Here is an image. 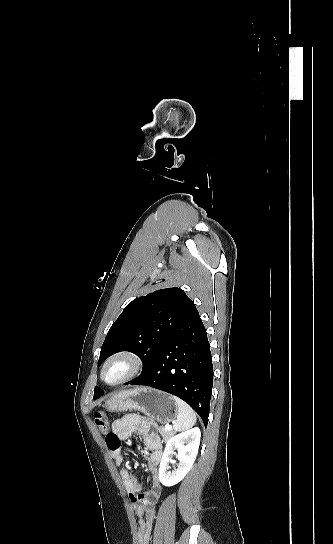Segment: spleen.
<instances>
[{
    "mask_svg": "<svg viewBox=\"0 0 333 544\" xmlns=\"http://www.w3.org/2000/svg\"><path fill=\"white\" fill-rule=\"evenodd\" d=\"M178 412L173 428L175 431H183L191 428L196 423V415L193 409L182 399L173 396Z\"/></svg>",
    "mask_w": 333,
    "mask_h": 544,
    "instance_id": "3e777b00",
    "label": "spleen"
}]
</instances>
